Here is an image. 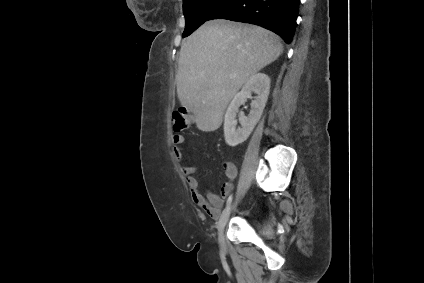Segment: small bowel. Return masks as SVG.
Masks as SVG:
<instances>
[{"instance_id": "small-bowel-1", "label": "small bowel", "mask_w": 424, "mask_h": 283, "mask_svg": "<svg viewBox=\"0 0 424 283\" xmlns=\"http://www.w3.org/2000/svg\"><path fill=\"white\" fill-rule=\"evenodd\" d=\"M172 141L174 144L173 153L175 157L178 160H182L183 152L181 145L184 142V137L177 134L173 136ZM223 168L229 181L222 185L221 194L218 195L211 190H206L205 193H203L197 178L194 176L195 168L191 165L182 166V172L186 177L193 202L203 208L212 219L219 218L223 202L233 189L232 182L238 174L237 166L231 161H224Z\"/></svg>"}]
</instances>
